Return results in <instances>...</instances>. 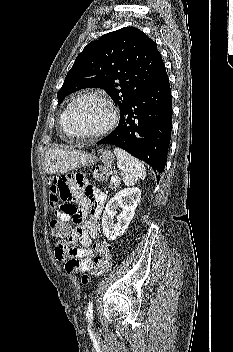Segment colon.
<instances>
[{"label":"colon","instance_id":"5ec220e1","mask_svg":"<svg viewBox=\"0 0 233 352\" xmlns=\"http://www.w3.org/2000/svg\"><path fill=\"white\" fill-rule=\"evenodd\" d=\"M111 155L107 152H103L101 155V164L96 167L95 177L97 179H104L111 167ZM64 211L72 213L75 210L74 205L65 206ZM50 232L53 237L61 244V246H66L67 240L71 231V225L63 222L59 219H54L50 222ZM95 255L91 262L83 270L82 282L87 283L93 277L99 276L107 272L112 265L111 260V247L107 242H97L94 245Z\"/></svg>","mask_w":233,"mask_h":352}]
</instances>
